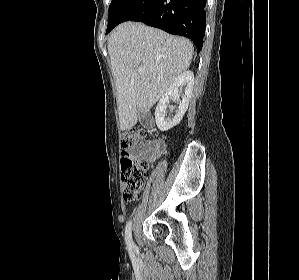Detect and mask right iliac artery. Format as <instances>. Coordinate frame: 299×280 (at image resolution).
I'll return each instance as SVG.
<instances>
[{
    "label": "right iliac artery",
    "instance_id": "82829eb1",
    "mask_svg": "<svg viewBox=\"0 0 299 280\" xmlns=\"http://www.w3.org/2000/svg\"><path fill=\"white\" fill-rule=\"evenodd\" d=\"M131 222H129L127 225H126V228H125V242H126V245L128 247L129 250H132L135 248V245L133 243V240H132V235H131Z\"/></svg>",
    "mask_w": 299,
    "mask_h": 280
}]
</instances>
